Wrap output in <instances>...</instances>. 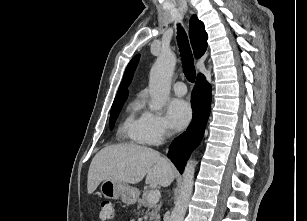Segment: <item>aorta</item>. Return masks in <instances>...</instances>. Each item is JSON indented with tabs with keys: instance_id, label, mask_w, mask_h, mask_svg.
Here are the masks:
<instances>
[{
	"instance_id": "obj_1",
	"label": "aorta",
	"mask_w": 307,
	"mask_h": 221,
	"mask_svg": "<svg viewBox=\"0 0 307 221\" xmlns=\"http://www.w3.org/2000/svg\"><path fill=\"white\" fill-rule=\"evenodd\" d=\"M176 66V56L169 50H163L150 71L149 92L152 111H160L168 100L171 89V78ZM196 161L190 159L183 173L182 186L176 199L169 221H183L193 190V179Z\"/></svg>"
}]
</instances>
